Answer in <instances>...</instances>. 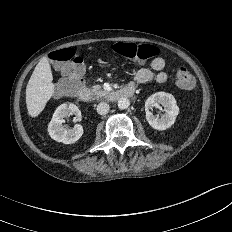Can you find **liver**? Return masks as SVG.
Listing matches in <instances>:
<instances>
[{
	"label": "liver",
	"mask_w": 232,
	"mask_h": 232,
	"mask_svg": "<svg viewBox=\"0 0 232 232\" xmlns=\"http://www.w3.org/2000/svg\"><path fill=\"white\" fill-rule=\"evenodd\" d=\"M53 75L49 61L41 58L36 65L26 87L28 114L37 117L54 93Z\"/></svg>",
	"instance_id": "1"
}]
</instances>
